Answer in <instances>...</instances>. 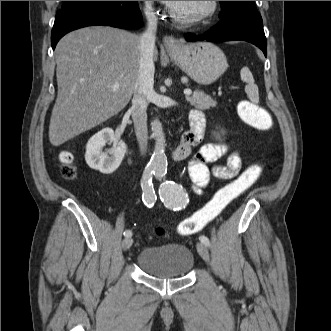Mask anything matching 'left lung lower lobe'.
<instances>
[{
  "instance_id": "0a47b994",
  "label": "left lung lower lobe",
  "mask_w": 331,
  "mask_h": 331,
  "mask_svg": "<svg viewBox=\"0 0 331 331\" xmlns=\"http://www.w3.org/2000/svg\"><path fill=\"white\" fill-rule=\"evenodd\" d=\"M187 41H248L259 47L267 55V42L263 21L258 12L241 14L222 19L216 26L203 35L187 33Z\"/></svg>"
}]
</instances>
